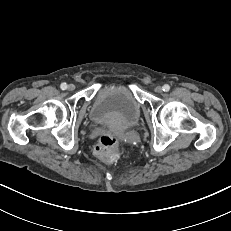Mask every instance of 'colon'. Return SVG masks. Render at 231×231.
<instances>
[{
	"mask_svg": "<svg viewBox=\"0 0 231 231\" xmlns=\"http://www.w3.org/2000/svg\"><path fill=\"white\" fill-rule=\"evenodd\" d=\"M118 144L119 140L115 135L105 133L99 138L94 153L104 161H112L117 156Z\"/></svg>",
	"mask_w": 231,
	"mask_h": 231,
	"instance_id": "5ec220e1",
	"label": "colon"
}]
</instances>
